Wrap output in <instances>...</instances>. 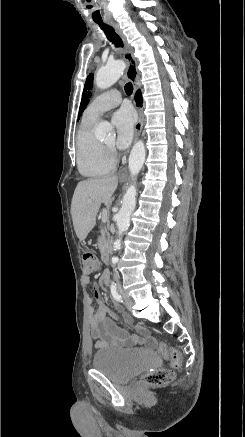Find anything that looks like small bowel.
I'll return each mask as SVG.
<instances>
[{"instance_id": "1", "label": "small bowel", "mask_w": 245, "mask_h": 437, "mask_svg": "<svg viewBox=\"0 0 245 437\" xmlns=\"http://www.w3.org/2000/svg\"><path fill=\"white\" fill-rule=\"evenodd\" d=\"M84 282L89 284L91 279L84 277ZM100 283H106L103 276L100 279ZM95 298L97 300V307L91 314L90 324L91 335L97 349H105L108 347L132 348L136 346H149L154 343V340L143 328L139 329L142 335V338H140L130 334L125 328L117 325L115 319L121 317L125 322H130V317L123 314L118 306H116L115 311L110 310L102 302V294L98 286H96Z\"/></svg>"}]
</instances>
